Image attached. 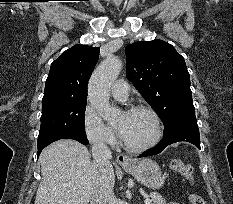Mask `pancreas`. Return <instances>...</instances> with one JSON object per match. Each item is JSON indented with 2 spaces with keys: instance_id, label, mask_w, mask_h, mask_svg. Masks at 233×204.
<instances>
[{
  "instance_id": "obj_1",
  "label": "pancreas",
  "mask_w": 233,
  "mask_h": 204,
  "mask_svg": "<svg viewBox=\"0 0 233 204\" xmlns=\"http://www.w3.org/2000/svg\"><path fill=\"white\" fill-rule=\"evenodd\" d=\"M150 197L152 204H166L165 199L159 193L153 192L150 194Z\"/></svg>"
}]
</instances>
